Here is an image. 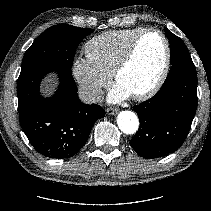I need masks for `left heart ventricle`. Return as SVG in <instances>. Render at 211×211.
Wrapping results in <instances>:
<instances>
[{"label":"left heart ventricle","mask_w":211,"mask_h":211,"mask_svg":"<svg viewBox=\"0 0 211 211\" xmlns=\"http://www.w3.org/2000/svg\"><path fill=\"white\" fill-rule=\"evenodd\" d=\"M164 44L157 33L144 35L135 58L121 73L117 83L131 95L148 89L157 79L164 62Z\"/></svg>","instance_id":"obj_1"}]
</instances>
